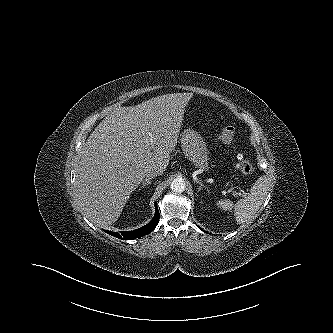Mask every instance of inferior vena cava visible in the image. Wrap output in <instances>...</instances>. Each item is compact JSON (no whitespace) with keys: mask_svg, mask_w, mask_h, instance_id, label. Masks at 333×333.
<instances>
[{"mask_svg":"<svg viewBox=\"0 0 333 333\" xmlns=\"http://www.w3.org/2000/svg\"><path fill=\"white\" fill-rule=\"evenodd\" d=\"M163 172L164 171L161 168L155 166V167H152L151 169L148 170L146 176L147 177H155L157 175L163 174Z\"/></svg>","mask_w":333,"mask_h":333,"instance_id":"inferior-vena-cava-1","label":"inferior vena cava"}]
</instances>
